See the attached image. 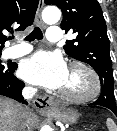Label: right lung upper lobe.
<instances>
[{"label": "right lung upper lobe", "mask_w": 117, "mask_h": 131, "mask_svg": "<svg viewBox=\"0 0 117 131\" xmlns=\"http://www.w3.org/2000/svg\"><path fill=\"white\" fill-rule=\"evenodd\" d=\"M39 0H0V52L7 37L3 31L24 30L32 25Z\"/></svg>", "instance_id": "1"}]
</instances>
